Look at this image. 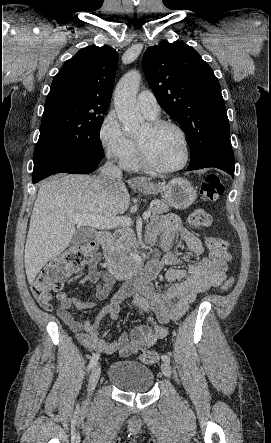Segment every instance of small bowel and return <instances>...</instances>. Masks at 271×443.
<instances>
[{
	"label": "small bowel",
	"instance_id": "small-bowel-1",
	"mask_svg": "<svg viewBox=\"0 0 271 443\" xmlns=\"http://www.w3.org/2000/svg\"><path fill=\"white\" fill-rule=\"evenodd\" d=\"M161 238L166 253L162 258L153 259L145 272L132 283L121 288L96 315L93 321L80 322L70 313V308L86 310L95 307L94 301H82L78 297H69L59 292L60 301L56 309L58 317L75 333L77 341L89 350L106 354L118 352L122 357L140 354L153 346L158 340L168 335L167 324L179 320L186 314L197 296L212 287L222 284L226 277L225 261L204 256V247L200 239L189 231L176 215H168L161 222L152 237ZM179 237L184 243L187 253L195 259L187 270L169 268L165 274L166 288H156L152 280L158 275L165 264H176L178 259L170 252ZM82 284L92 283L96 287L97 300H105L112 289L113 279L105 271H99L91 264L89 271L81 279ZM133 297V308L144 315L145 323L134 327L130 334L122 333L114 341L104 339L99 331L103 319L116 320L120 305L126 297ZM52 297L38 298L42 308L54 311Z\"/></svg>",
	"mask_w": 271,
	"mask_h": 443
}]
</instances>
